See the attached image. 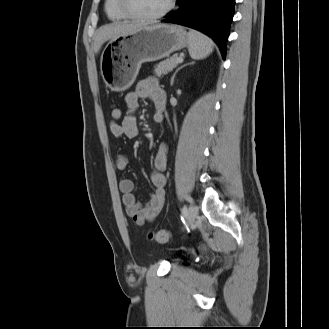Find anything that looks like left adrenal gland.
<instances>
[{"instance_id": "obj_1", "label": "left adrenal gland", "mask_w": 329, "mask_h": 329, "mask_svg": "<svg viewBox=\"0 0 329 329\" xmlns=\"http://www.w3.org/2000/svg\"><path fill=\"white\" fill-rule=\"evenodd\" d=\"M193 64H194V62H191V63L184 64V65H182L181 67H179V68L174 72L173 76L171 77V85H173V83H174V78H175L176 74L178 73V71H179L180 69H182L183 67H185V66H187V65H193Z\"/></svg>"}]
</instances>
